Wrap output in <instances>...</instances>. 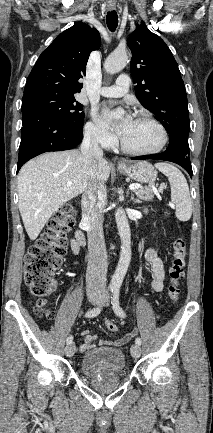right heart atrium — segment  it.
I'll list each match as a JSON object with an SVG mask.
<instances>
[{"instance_id":"right-heart-atrium-1","label":"right heart atrium","mask_w":213,"mask_h":433,"mask_svg":"<svg viewBox=\"0 0 213 433\" xmlns=\"http://www.w3.org/2000/svg\"><path fill=\"white\" fill-rule=\"evenodd\" d=\"M84 134L91 142L99 144L105 148L113 146L115 142L114 136L94 120L86 123Z\"/></svg>"}]
</instances>
